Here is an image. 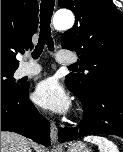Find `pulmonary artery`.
Here are the masks:
<instances>
[{"label":"pulmonary artery","mask_w":123,"mask_h":152,"mask_svg":"<svg viewBox=\"0 0 123 152\" xmlns=\"http://www.w3.org/2000/svg\"><path fill=\"white\" fill-rule=\"evenodd\" d=\"M56 59L59 63H74L77 60L74 55L66 52H59ZM40 71L41 67L38 64L32 60H28L20 65L17 70V75L19 77H32L39 74Z\"/></svg>","instance_id":"1"}]
</instances>
